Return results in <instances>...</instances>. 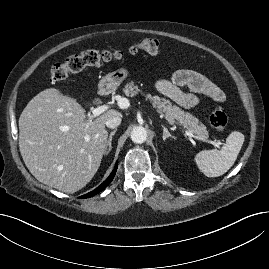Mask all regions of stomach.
Instances as JSON below:
<instances>
[{
	"label": "stomach",
	"instance_id": "obj_1",
	"mask_svg": "<svg viewBox=\"0 0 269 269\" xmlns=\"http://www.w3.org/2000/svg\"><path fill=\"white\" fill-rule=\"evenodd\" d=\"M129 71L122 67L108 73L99 82V90L101 93L108 94L115 91L118 86L127 78Z\"/></svg>",
	"mask_w": 269,
	"mask_h": 269
}]
</instances>
